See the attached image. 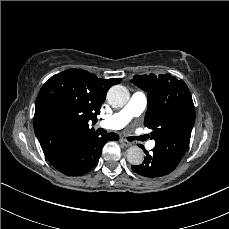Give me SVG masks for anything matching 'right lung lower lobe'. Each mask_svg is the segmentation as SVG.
<instances>
[{"mask_svg": "<svg viewBox=\"0 0 229 229\" xmlns=\"http://www.w3.org/2000/svg\"><path fill=\"white\" fill-rule=\"evenodd\" d=\"M116 133L99 136L91 134L78 142L60 161L53 166L68 176H81L90 171L98 163L104 144L118 140Z\"/></svg>", "mask_w": 229, "mask_h": 229, "instance_id": "98d812e1", "label": "right lung lower lobe"}]
</instances>
